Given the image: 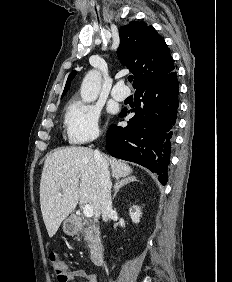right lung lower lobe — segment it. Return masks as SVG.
<instances>
[{
	"instance_id": "right-lung-lower-lobe-1",
	"label": "right lung lower lobe",
	"mask_w": 232,
	"mask_h": 282,
	"mask_svg": "<svg viewBox=\"0 0 232 282\" xmlns=\"http://www.w3.org/2000/svg\"><path fill=\"white\" fill-rule=\"evenodd\" d=\"M135 89V108L123 109L119 114L124 117L135 112V115L124 128L109 127L107 151L113 157L138 163L157 173L159 181L165 185L179 106L176 72L148 80Z\"/></svg>"
}]
</instances>
